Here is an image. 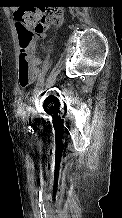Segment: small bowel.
Here are the masks:
<instances>
[{"mask_svg": "<svg viewBox=\"0 0 122 218\" xmlns=\"http://www.w3.org/2000/svg\"><path fill=\"white\" fill-rule=\"evenodd\" d=\"M34 65H35V69H36V75H35V77H36L37 73H38V66H39V60L38 59H34Z\"/></svg>", "mask_w": 122, "mask_h": 218, "instance_id": "c3829d8e", "label": "small bowel"}]
</instances>
